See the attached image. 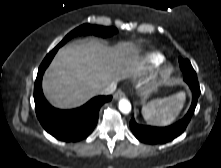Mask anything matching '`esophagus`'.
I'll return each instance as SVG.
<instances>
[{
    "mask_svg": "<svg viewBox=\"0 0 221 168\" xmlns=\"http://www.w3.org/2000/svg\"><path fill=\"white\" fill-rule=\"evenodd\" d=\"M124 96H125L124 92H123L122 90H118V91L114 94L113 98H114L115 100H118V99H120V98H122V97H124Z\"/></svg>",
    "mask_w": 221,
    "mask_h": 168,
    "instance_id": "esophagus-1",
    "label": "esophagus"
}]
</instances>
